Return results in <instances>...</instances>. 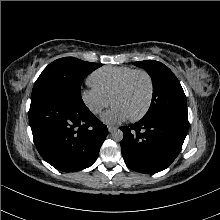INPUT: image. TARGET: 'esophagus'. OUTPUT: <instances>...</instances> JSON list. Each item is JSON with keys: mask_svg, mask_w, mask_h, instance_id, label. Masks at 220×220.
Returning a JSON list of instances; mask_svg holds the SVG:
<instances>
[{"mask_svg": "<svg viewBox=\"0 0 220 220\" xmlns=\"http://www.w3.org/2000/svg\"><path fill=\"white\" fill-rule=\"evenodd\" d=\"M107 128H108L109 132H112L117 129V127H115V126H108Z\"/></svg>", "mask_w": 220, "mask_h": 220, "instance_id": "1", "label": "esophagus"}]
</instances>
